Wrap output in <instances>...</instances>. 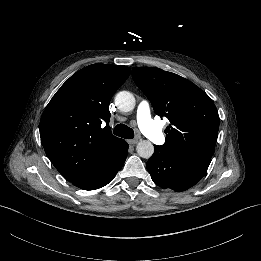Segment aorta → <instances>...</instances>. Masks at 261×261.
<instances>
[{
	"mask_svg": "<svg viewBox=\"0 0 261 261\" xmlns=\"http://www.w3.org/2000/svg\"><path fill=\"white\" fill-rule=\"evenodd\" d=\"M115 104L123 112H129L135 107V98L128 91H121L115 96ZM137 153L142 158H150L154 153V146L150 141L144 140L138 143Z\"/></svg>",
	"mask_w": 261,
	"mask_h": 261,
	"instance_id": "obj_1",
	"label": "aorta"
}]
</instances>
